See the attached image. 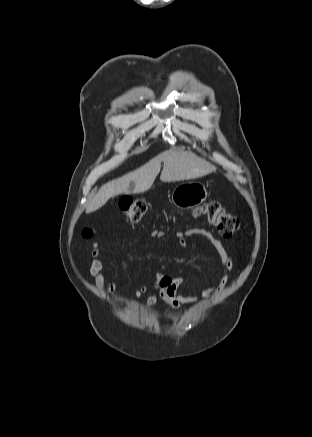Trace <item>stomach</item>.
I'll return each mask as SVG.
<instances>
[{
    "label": "stomach",
    "mask_w": 312,
    "mask_h": 437,
    "mask_svg": "<svg viewBox=\"0 0 312 437\" xmlns=\"http://www.w3.org/2000/svg\"><path fill=\"white\" fill-rule=\"evenodd\" d=\"M207 195L204 184L194 181L183 182L174 188L172 203L177 208L190 209L202 204Z\"/></svg>",
    "instance_id": "stomach-1"
}]
</instances>
